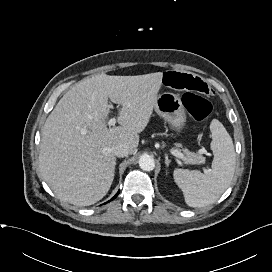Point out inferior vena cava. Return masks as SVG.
<instances>
[{"instance_id": "602c4592", "label": "inferior vena cava", "mask_w": 272, "mask_h": 272, "mask_svg": "<svg viewBox=\"0 0 272 272\" xmlns=\"http://www.w3.org/2000/svg\"><path fill=\"white\" fill-rule=\"evenodd\" d=\"M112 152L117 157H125L129 154V147L126 144H118L113 147Z\"/></svg>"}]
</instances>
